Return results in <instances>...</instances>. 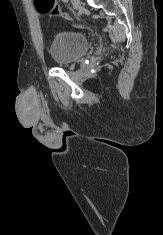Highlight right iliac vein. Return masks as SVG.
<instances>
[{"mask_svg":"<svg viewBox=\"0 0 163 235\" xmlns=\"http://www.w3.org/2000/svg\"><path fill=\"white\" fill-rule=\"evenodd\" d=\"M76 8H80L81 7V0H73Z\"/></svg>","mask_w":163,"mask_h":235,"instance_id":"obj_1","label":"right iliac vein"}]
</instances>
